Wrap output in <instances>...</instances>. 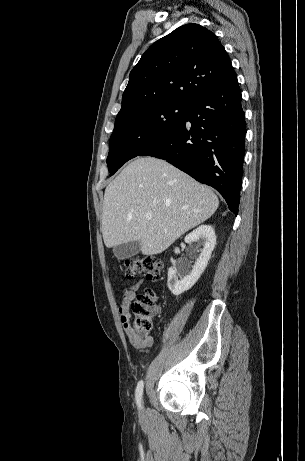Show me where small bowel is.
I'll list each match as a JSON object with an SVG mask.
<instances>
[{
    "label": "small bowel",
    "instance_id": "1",
    "mask_svg": "<svg viewBox=\"0 0 305 461\" xmlns=\"http://www.w3.org/2000/svg\"><path fill=\"white\" fill-rule=\"evenodd\" d=\"M142 285L143 281H139L131 285L130 287L124 289L121 294V302L118 308L124 330L127 334L130 343L134 348L141 350L146 349L152 345L153 336L136 333L132 330L129 323V307L131 302L135 299L137 291ZM155 312L159 313L160 308L156 307Z\"/></svg>",
    "mask_w": 305,
    "mask_h": 461
}]
</instances>
